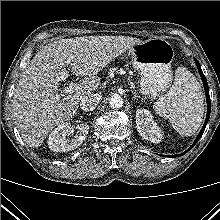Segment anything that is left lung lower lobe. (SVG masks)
Wrapping results in <instances>:
<instances>
[{
	"mask_svg": "<svg viewBox=\"0 0 220 220\" xmlns=\"http://www.w3.org/2000/svg\"><path fill=\"white\" fill-rule=\"evenodd\" d=\"M195 62H196V65H197V68H198V71H199V74L201 76V79L203 81V84H204V89H205V93H206V99H207V116H206V119H205V122H204V125L200 131V133L198 134L196 140L194 141V143L191 145V147L189 149H187L185 152L181 153V154H178V155H172V156H168V157H179V156H182L184 155L185 153H187L189 150H191L194 145L199 141V139L201 138L204 130H205V127L209 121V117H210V111H211V102H210V96H209V89H208V84H207V81H206V78L201 70V67H200V64L199 62L195 59ZM167 157V156H166Z\"/></svg>",
	"mask_w": 220,
	"mask_h": 220,
	"instance_id": "1",
	"label": "left lung lower lobe"
}]
</instances>
